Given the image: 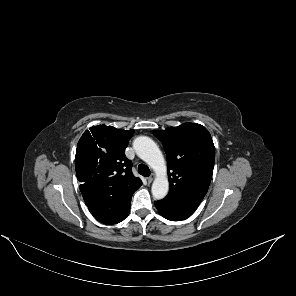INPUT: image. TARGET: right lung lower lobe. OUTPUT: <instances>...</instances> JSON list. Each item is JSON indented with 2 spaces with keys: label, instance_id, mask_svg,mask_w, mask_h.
<instances>
[{
  "label": "right lung lower lobe",
  "instance_id": "98d812e1",
  "mask_svg": "<svg viewBox=\"0 0 296 296\" xmlns=\"http://www.w3.org/2000/svg\"><path fill=\"white\" fill-rule=\"evenodd\" d=\"M134 192L111 197L86 195L83 198L89 211L98 221L105 224H116L128 216Z\"/></svg>",
  "mask_w": 296,
  "mask_h": 296
}]
</instances>
